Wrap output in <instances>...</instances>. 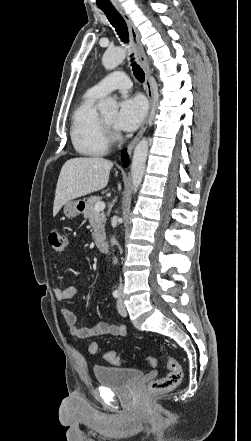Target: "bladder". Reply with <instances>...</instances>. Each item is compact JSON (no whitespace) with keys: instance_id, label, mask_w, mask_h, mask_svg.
I'll use <instances>...</instances> for the list:
<instances>
[{"instance_id":"obj_1","label":"bladder","mask_w":251,"mask_h":441,"mask_svg":"<svg viewBox=\"0 0 251 441\" xmlns=\"http://www.w3.org/2000/svg\"><path fill=\"white\" fill-rule=\"evenodd\" d=\"M93 373L100 385L114 389H127L144 375L139 369L109 366H95Z\"/></svg>"}]
</instances>
